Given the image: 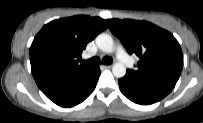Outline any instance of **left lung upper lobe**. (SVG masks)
<instances>
[{
	"instance_id": "5c2ea615",
	"label": "left lung upper lobe",
	"mask_w": 203,
	"mask_h": 123,
	"mask_svg": "<svg viewBox=\"0 0 203 123\" xmlns=\"http://www.w3.org/2000/svg\"><path fill=\"white\" fill-rule=\"evenodd\" d=\"M107 22L128 53L140 58L137 69L127 72L176 85L183 68V54L170 32L146 21L108 19Z\"/></svg>"
}]
</instances>
